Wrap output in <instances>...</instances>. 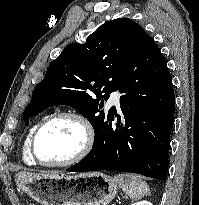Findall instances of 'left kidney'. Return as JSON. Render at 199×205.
Wrapping results in <instances>:
<instances>
[{
    "instance_id": "left-kidney-1",
    "label": "left kidney",
    "mask_w": 199,
    "mask_h": 205,
    "mask_svg": "<svg viewBox=\"0 0 199 205\" xmlns=\"http://www.w3.org/2000/svg\"><path fill=\"white\" fill-rule=\"evenodd\" d=\"M132 205H153L151 202L147 201V200H143V201H140V202H136Z\"/></svg>"
}]
</instances>
